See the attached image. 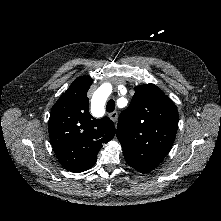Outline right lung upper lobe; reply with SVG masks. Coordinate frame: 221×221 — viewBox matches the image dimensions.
<instances>
[{"label": "right lung upper lobe", "mask_w": 221, "mask_h": 221, "mask_svg": "<svg viewBox=\"0 0 221 221\" xmlns=\"http://www.w3.org/2000/svg\"><path fill=\"white\" fill-rule=\"evenodd\" d=\"M92 78H77L52 107L48 129L52 148L61 165L83 172L97 160L103 143L113 139L115 127L108 117L95 119L89 113L87 92Z\"/></svg>", "instance_id": "right-lung-upper-lobe-1"}]
</instances>
